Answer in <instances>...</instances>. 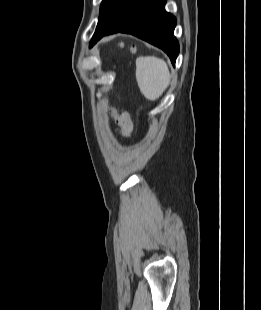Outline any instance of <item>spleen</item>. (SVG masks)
<instances>
[{"label":"spleen","mask_w":261,"mask_h":310,"mask_svg":"<svg viewBox=\"0 0 261 310\" xmlns=\"http://www.w3.org/2000/svg\"><path fill=\"white\" fill-rule=\"evenodd\" d=\"M136 80L141 93L148 100L158 99L170 83V74L166 63L156 57L136 59Z\"/></svg>","instance_id":"1"}]
</instances>
